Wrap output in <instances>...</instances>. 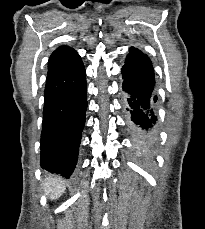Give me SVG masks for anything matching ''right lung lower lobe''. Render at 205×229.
Wrapping results in <instances>:
<instances>
[{"mask_svg":"<svg viewBox=\"0 0 205 229\" xmlns=\"http://www.w3.org/2000/svg\"><path fill=\"white\" fill-rule=\"evenodd\" d=\"M87 110L86 73L81 59L69 64L56 50L48 62L41 133V167L66 178L77 163Z\"/></svg>","mask_w":205,"mask_h":229,"instance_id":"1","label":"right lung lower lobe"}]
</instances>
